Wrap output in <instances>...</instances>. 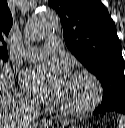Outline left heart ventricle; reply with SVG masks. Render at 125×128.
<instances>
[{
  "mask_svg": "<svg viewBox=\"0 0 125 128\" xmlns=\"http://www.w3.org/2000/svg\"><path fill=\"white\" fill-rule=\"evenodd\" d=\"M90 94L91 88L87 82L71 77L69 87L61 105L66 107H76L86 102Z\"/></svg>",
  "mask_w": 125,
  "mask_h": 128,
  "instance_id": "1",
  "label": "left heart ventricle"
}]
</instances>
